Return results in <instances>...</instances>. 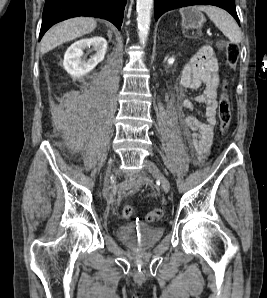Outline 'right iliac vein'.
<instances>
[{
	"instance_id": "right-iliac-vein-1",
	"label": "right iliac vein",
	"mask_w": 267,
	"mask_h": 298,
	"mask_svg": "<svg viewBox=\"0 0 267 298\" xmlns=\"http://www.w3.org/2000/svg\"><path fill=\"white\" fill-rule=\"evenodd\" d=\"M111 164H112V161L109 162V166H108L107 171H106V175H105V183L106 184L108 183V177L110 175Z\"/></svg>"
}]
</instances>
